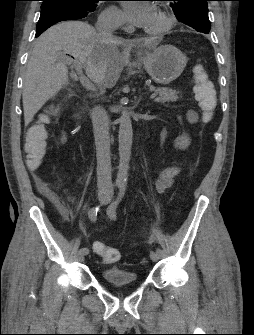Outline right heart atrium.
I'll use <instances>...</instances> for the list:
<instances>
[{
    "label": "right heart atrium",
    "instance_id": "1",
    "mask_svg": "<svg viewBox=\"0 0 254 335\" xmlns=\"http://www.w3.org/2000/svg\"><path fill=\"white\" fill-rule=\"evenodd\" d=\"M98 22L102 24H111L115 23L119 26H123L124 21V15L121 12L120 9H118L115 6H110L106 8L99 16Z\"/></svg>",
    "mask_w": 254,
    "mask_h": 335
}]
</instances>
